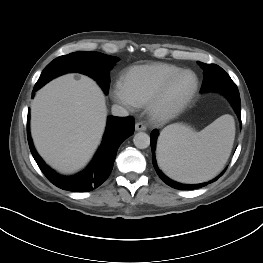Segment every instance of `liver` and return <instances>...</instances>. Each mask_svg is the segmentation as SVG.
Returning <instances> with one entry per match:
<instances>
[{
	"label": "liver",
	"mask_w": 263,
	"mask_h": 263,
	"mask_svg": "<svg viewBox=\"0 0 263 263\" xmlns=\"http://www.w3.org/2000/svg\"><path fill=\"white\" fill-rule=\"evenodd\" d=\"M107 108L96 82L72 74L58 77L31 103V135L52 168L70 174L84 167L100 144Z\"/></svg>",
	"instance_id": "6515ba94"
}]
</instances>
